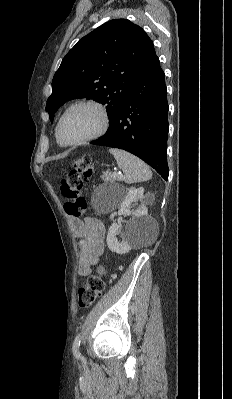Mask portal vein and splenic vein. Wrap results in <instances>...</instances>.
Segmentation results:
<instances>
[{
    "instance_id": "obj_1",
    "label": "portal vein and splenic vein",
    "mask_w": 232,
    "mask_h": 399,
    "mask_svg": "<svg viewBox=\"0 0 232 399\" xmlns=\"http://www.w3.org/2000/svg\"><path fill=\"white\" fill-rule=\"evenodd\" d=\"M118 174H120V176H121V172H118ZM113 176H114V178H116V172H114Z\"/></svg>"
}]
</instances>
